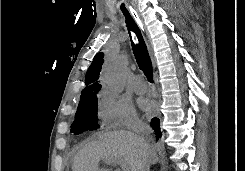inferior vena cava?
Wrapping results in <instances>:
<instances>
[{
  "label": "inferior vena cava",
  "mask_w": 245,
  "mask_h": 171,
  "mask_svg": "<svg viewBox=\"0 0 245 171\" xmlns=\"http://www.w3.org/2000/svg\"><path fill=\"white\" fill-rule=\"evenodd\" d=\"M134 130L140 135L141 142L146 149H150V133L151 129L149 126L143 123H139L134 127ZM141 171H149V164L146 162L141 168Z\"/></svg>",
  "instance_id": "602c4592"
}]
</instances>
